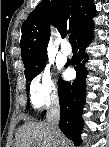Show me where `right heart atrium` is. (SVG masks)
<instances>
[{"mask_svg":"<svg viewBox=\"0 0 109 147\" xmlns=\"http://www.w3.org/2000/svg\"><path fill=\"white\" fill-rule=\"evenodd\" d=\"M30 97L36 107L53 104L57 99L56 86L49 68H44L31 82Z\"/></svg>","mask_w":109,"mask_h":147,"instance_id":"1","label":"right heart atrium"}]
</instances>
